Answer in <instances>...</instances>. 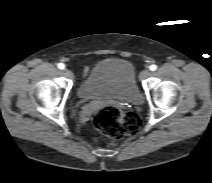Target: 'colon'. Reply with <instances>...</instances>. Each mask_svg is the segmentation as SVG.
<instances>
[{"instance_id": "obj_1", "label": "colon", "mask_w": 212, "mask_h": 183, "mask_svg": "<svg viewBox=\"0 0 212 183\" xmlns=\"http://www.w3.org/2000/svg\"><path fill=\"white\" fill-rule=\"evenodd\" d=\"M91 120L94 127L113 142L135 135L141 128V120L137 114L124 112L112 103L98 108L92 114Z\"/></svg>"}]
</instances>
